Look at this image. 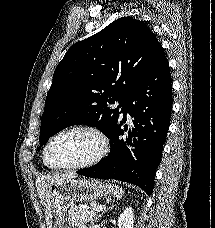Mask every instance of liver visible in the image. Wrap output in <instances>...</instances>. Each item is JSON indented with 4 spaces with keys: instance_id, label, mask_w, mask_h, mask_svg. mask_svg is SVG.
<instances>
[{
    "instance_id": "liver-1",
    "label": "liver",
    "mask_w": 215,
    "mask_h": 228,
    "mask_svg": "<svg viewBox=\"0 0 215 228\" xmlns=\"http://www.w3.org/2000/svg\"><path fill=\"white\" fill-rule=\"evenodd\" d=\"M66 178H77L75 174H53V176H38L35 184L37 194L41 200L43 210L45 212V220L47 222V228H52V216L50 214V198H49V186L51 184H57L61 180H66Z\"/></svg>"
}]
</instances>
